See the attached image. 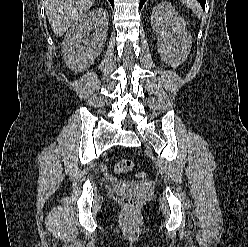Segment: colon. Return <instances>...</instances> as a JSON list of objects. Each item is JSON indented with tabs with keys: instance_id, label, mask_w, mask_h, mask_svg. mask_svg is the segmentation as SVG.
I'll list each match as a JSON object with an SVG mask.
<instances>
[{
	"instance_id": "colon-1",
	"label": "colon",
	"mask_w": 248,
	"mask_h": 247,
	"mask_svg": "<svg viewBox=\"0 0 248 247\" xmlns=\"http://www.w3.org/2000/svg\"><path fill=\"white\" fill-rule=\"evenodd\" d=\"M132 168L133 163L128 159L118 160L114 164V171L117 173H128L132 170ZM121 203L126 209L133 210L139 205V199L134 194H126L122 197Z\"/></svg>"
}]
</instances>
